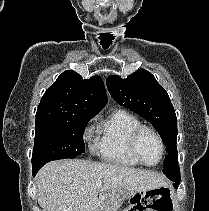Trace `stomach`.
I'll use <instances>...</instances> for the list:
<instances>
[{"label": "stomach", "mask_w": 209, "mask_h": 211, "mask_svg": "<svg viewBox=\"0 0 209 211\" xmlns=\"http://www.w3.org/2000/svg\"><path fill=\"white\" fill-rule=\"evenodd\" d=\"M141 195V192H126L122 194V197L128 200H133L136 196Z\"/></svg>", "instance_id": "stomach-1"}]
</instances>
